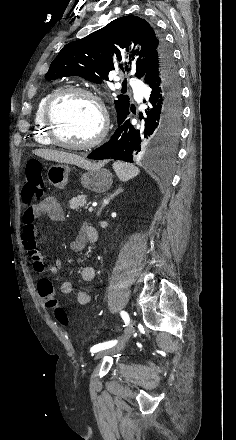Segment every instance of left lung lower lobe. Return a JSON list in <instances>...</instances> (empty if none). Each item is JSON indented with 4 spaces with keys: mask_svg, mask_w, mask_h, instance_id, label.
Masks as SVG:
<instances>
[{
    "mask_svg": "<svg viewBox=\"0 0 236 440\" xmlns=\"http://www.w3.org/2000/svg\"><path fill=\"white\" fill-rule=\"evenodd\" d=\"M150 87L149 106L139 114L141 126L131 125L132 108L118 116V128L111 139L88 155L89 159H117L133 162L145 151L163 152L177 139L182 119L179 76L172 54L152 61L143 77ZM146 102V100H144Z\"/></svg>",
    "mask_w": 236,
    "mask_h": 440,
    "instance_id": "1",
    "label": "left lung lower lobe"
}]
</instances>
